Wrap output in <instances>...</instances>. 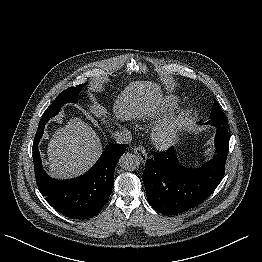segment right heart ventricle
Masks as SVG:
<instances>
[{
	"label": "right heart ventricle",
	"instance_id": "e07e8e85",
	"mask_svg": "<svg viewBox=\"0 0 262 262\" xmlns=\"http://www.w3.org/2000/svg\"><path fill=\"white\" fill-rule=\"evenodd\" d=\"M180 103V98L175 95L166 96L160 104L151 109L146 111L142 115V120L146 122H152L159 120L166 112L176 108Z\"/></svg>",
	"mask_w": 262,
	"mask_h": 262
}]
</instances>
